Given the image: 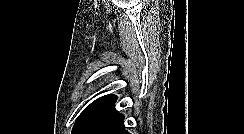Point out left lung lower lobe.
<instances>
[{
    "mask_svg": "<svg viewBox=\"0 0 244 134\" xmlns=\"http://www.w3.org/2000/svg\"><path fill=\"white\" fill-rule=\"evenodd\" d=\"M124 116L116 113L105 121L93 134H129L124 129Z\"/></svg>",
    "mask_w": 244,
    "mask_h": 134,
    "instance_id": "obj_1",
    "label": "left lung lower lobe"
}]
</instances>
